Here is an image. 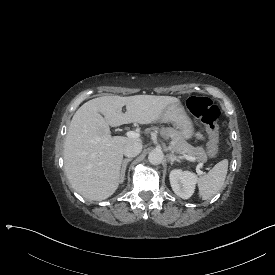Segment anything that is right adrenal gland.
Returning a JSON list of instances; mask_svg holds the SVG:
<instances>
[{
    "mask_svg": "<svg viewBox=\"0 0 275 275\" xmlns=\"http://www.w3.org/2000/svg\"><path fill=\"white\" fill-rule=\"evenodd\" d=\"M132 160V158H124L122 160V166H121V171H120V175H119V181L120 183H122L124 181V176H125V170L127 167V163L130 162Z\"/></svg>",
    "mask_w": 275,
    "mask_h": 275,
    "instance_id": "right-adrenal-gland-1",
    "label": "right adrenal gland"
}]
</instances>
